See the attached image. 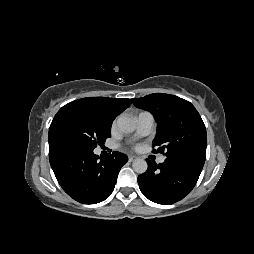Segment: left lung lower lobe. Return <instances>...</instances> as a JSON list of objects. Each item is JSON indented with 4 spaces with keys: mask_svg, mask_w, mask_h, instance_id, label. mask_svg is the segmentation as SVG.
<instances>
[{
    "mask_svg": "<svg viewBox=\"0 0 254 254\" xmlns=\"http://www.w3.org/2000/svg\"><path fill=\"white\" fill-rule=\"evenodd\" d=\"M146 160L148 169L138 176L140 190L146 198L162 205L173 204L188 195L205 162L194 157L166 158L158 165Z\"/></svg>",
    "mask_w": 254,
    "mask_h": 254,
    "instance_id": "obj_1",
    "label": "left lung lower lobe"
}]
</instances>
